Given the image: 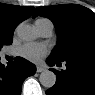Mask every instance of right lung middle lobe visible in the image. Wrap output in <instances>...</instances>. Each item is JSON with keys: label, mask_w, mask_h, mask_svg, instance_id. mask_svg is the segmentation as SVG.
<instances>
[{"label": "right lung middle lobe", "mask_w": 95, "mask_h": 95, "mask_svg": "<svg viewBox=\"0 0 95 95\" xmlns=\"http://www.w3.org/2000/svg\"><path fill=\"white\" fill-rule=\"evenodd\" d=\"M12 38L0 39V48H2L3 45H10V44H12Z\"/></svg>", "instance_id": "right-lung-middle-lobe-1"}]
</instances>
